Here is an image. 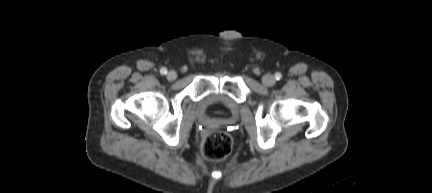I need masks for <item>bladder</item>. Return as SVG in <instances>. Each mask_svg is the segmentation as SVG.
<instances>
[{
  "label": "bladder",
  "mask_w": 432,
  "mask_h": 193,
  "mask_svg": "<svg viewBox=\"0 0 432 193\" xmlns=\"http://www.w3.org/2000/svg\"><path fill=\"white\" fill-rule=\"evenodd\" d=\"M232 105L233 101L221 93L208 94L200 101V106L204 109H209L213 106H217L220 109L219 112L213 116L215 120L225 119L226 114L224 111L232 107Z\"/></svg>",
  "instance_id": "1"
}]
</instances>
